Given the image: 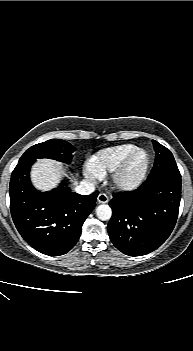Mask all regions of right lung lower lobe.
<instances>
[{
  "instance_id": "1",
  "label": "right lung lower lobe",
  "mask_w": 193,
  "mask_h": 351,
  "mask_svg": "<svg viewBox=\"0 0 193 351\" xmlns=\"http://www.w3.org/2000/svg\"><path fill=\"white\" fill-rule=\"evenodd\" d=\"M36 159H20L10 180V209L24 240L37 251L59 256L77 243L82 225L96 205L98 191L88 196L72 192L67 180L50 191L36 190L30 168Z\"/></svg>"
}]
</instances>
